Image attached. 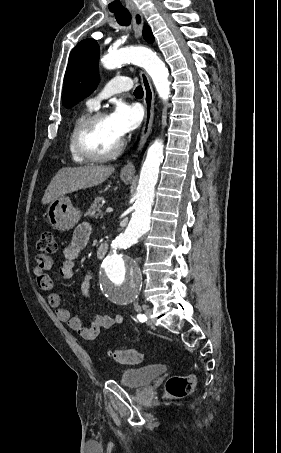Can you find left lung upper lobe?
I'll list each match as a JSON object with an SVG mask.
<instances>
[{"label":"left lung upper lobe","instance_id":"1","mask_svg":"<svg viewBox=\"0 0 281 453\" xmlns=\"http://www.w3.org/2000/svg\"><path fill=\"white\" fill-rule=\"evenodd\" d=\"M99 51V46L93 39L82 40L71 51L65 73L64 107L76 105L97 87Z\"/></svg>","mask_w":281,"mask_h":453}]
</instances>
